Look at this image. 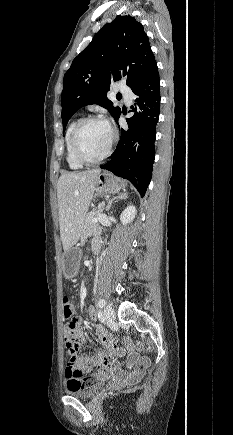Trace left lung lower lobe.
Here are the masks:
<instances>
[{
  "label": "left lung lower lobe",
  "mask_w": 233,
  "mask_h": 435,
  "mask_svg": "<svg viewBox=\"0 0 233 435\" xmlns=\"http://www.w3.org/2000/svg\"><path fill=\"white\" fill-rule=\"evenodd\" d=\"M160 79L157 64L132 88L135 114L120 128L121 138L112 159L102 169L129 180L143 197L150 183L155 158L156 125L160 109ZM121 114V112H120ZM120 114L115 118L118 123Z\"/></svg>",
  "instance_id": "0a47b994"
}]
</instances>
